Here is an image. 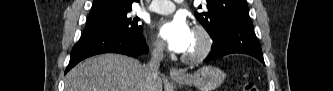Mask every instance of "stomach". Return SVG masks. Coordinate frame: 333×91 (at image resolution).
Listing matches in <instances>:
<instances>
[{"label":"stomach","mask_w":333,"mask_h":91,"mask_svg":"<svg viewBox=\"0 0 333 91\" xmlns=\"http://www.w3.org/2000/svg\"><path fill=\"white\" fill-rule=\"evenodd\" d=\"M225 74L222 70L213 66H204L181 78H173L180 85H192L199 91H214L224 81Z\"/></svg>","instance_id":"1"}]
</instances>
